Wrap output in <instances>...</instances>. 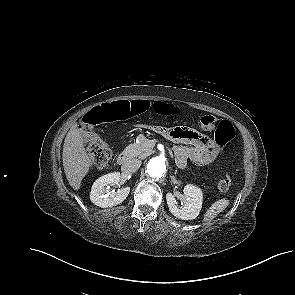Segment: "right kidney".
I'll use <instances>...</instances> for the list:
<instances>
[{
  "label": "right kidney",
  "mask_w": 295,
  "mask_h": 295,
  "mask_svg": "<svg viewBox=\"0 0 295 295\" xmlns=\"http://www.w3.org/2000/svg\"><path fill=\"white\" fill-rule=\"evenodd\" d=\"M121 179L119 172L109 173L97 179L91 188V202L101 208L116 206L122 203L130 193V187L118 189L116 192H109L107 185H115Z\"/></svg>",
  "instance_id": "ca27d5eb"
}]
</instances>
